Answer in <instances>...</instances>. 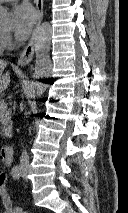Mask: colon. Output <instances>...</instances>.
I'll return each mask as SVG.
<instances>
[{
	"label": "colon",
	"instance_id": "1",
	"mask_svg": "<svg viewBox=\"0 0 128 213\" xmlns=\"http://www.w3.org/2000/svg\"><path fill=\"white\" fill-rule=\"evenodd\" d=\"M13 213H28L27 211H24L23 209L19 207H14L13 208Z\"/></svg>",
	"mask_w": 128,
	"mask_h": 213
}]
</instances>
